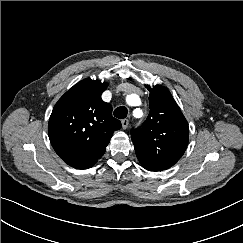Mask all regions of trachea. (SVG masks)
Masks as SVG:
<instances>
[{
    "instance_id": "1",
    "label": "trachea",
    "mask_w": 243,
    "mask_h": 243,
    "mask_svg": "<svg viewBox=\"0 0 243 243\" xmlns=\"http://www.w3.org/2000/svg\"><path fill=\"white\" fill-rule=\"evenodd\" d=\"M114 116L118 119H124L127 116V108L124 106L117 107L114 110Z\"/></svg>"
}]
</instances>
